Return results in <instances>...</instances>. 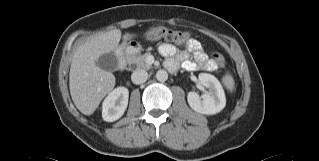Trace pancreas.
<instances>
[{
  "mask_svg": "<svg viewBox=\"0 0 319 161\" xmlns=\"http://www.w3.org/2000/svg\"><path fill=\"white\" fill-rule=\"evenodd\" d=\"M149 54H131L127 57V61L129 64H136L139 69L149 70L151 66L146 62L147 56Z\"/></svg>",
  "mask_w": 319,
  "mask_h": 161,
  "instance_id": "1",
  "label": "pancreas"
}]
</instances>
